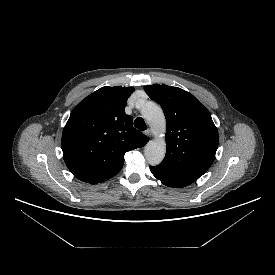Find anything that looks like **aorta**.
I'll list each match as a JSON object with an SVG mask.
<instances>
[{
	"instance_id": "762f6f07",
	"label": "aorta",
	"mask_w": 275,
	"mask_h": 275,
	"mask_svg": "<svg viewBox=\"0 0 275 275\" xmlns=\"http://www.w3.org/2000/svg\"><path fill=\"white\" fill-rule=\"evenodd\" d=\"M141 113L157 137L155 140L149 141L144 149L147 162L155 166L162 162L166 153V143L163 138L166 130L165 116L161 107L150 101L144 104Z\"/></svg>"
}]
</instances>
